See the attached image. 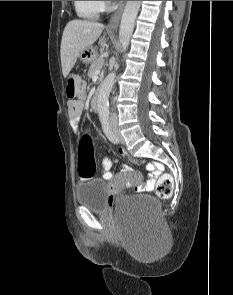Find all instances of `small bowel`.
<instances>
[{
	"instance_id": "obj_1",
	"label": "small bowel",
	"mask_w": 233,
	"mask_h": 295,
	"mask_svg": "<svg viewBox=\"0 0 233 295\" xmlns=\"http://www.w3.org/2000/svg\"><path fill=\"white\" fill-rule=\"evenodd\" d=\"M84 110L83 99L70 100L68 102V115L71 126L74 130L77 129V124L80 121ZM116 162V159L112 157H105L103 160L102 177L106 180H111L114 177V172L111 168L112 163ZM163 169V166L159 162H150L147 164V170L149 172L148 182L138 188L139 191H151L154 188L155 180L159 177ZM122 172H128L130 169L127 166H122Z\"/></svg>"
}]
</instances>
